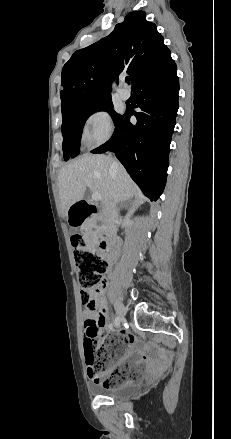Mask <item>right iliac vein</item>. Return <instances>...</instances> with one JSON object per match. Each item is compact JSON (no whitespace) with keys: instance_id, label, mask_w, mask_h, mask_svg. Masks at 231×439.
I'll return each mask as SVG.
<instances>
[{"instance_id":"right-iliac-vein-1","label":"right iliac vein","mask_w":231,"mask_h":439,"mask_svg":"<svg viewBox=\"0 0 231 439\" xmlns=\"http://www.w3.org/2000/svg\"><path fill=\"white\" fill-rule=\"evenodd\" d=\"M115 306H116V310H117V314H118L116 318L119 321H123L124 320V308H123L122 304L119 302H116Z\"/></svg>"}]
</instances>
